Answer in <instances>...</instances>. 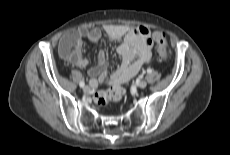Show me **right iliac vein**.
Here are the masks:
<instances>
[{
  "mask_svg": "<svg viewBox=\"0 0 230 155\" xmlns=\"http://www.w3.org/2000/svg\"><path fill=\"white\" fill-rule=\"evenodd\" d=\"M83 91L86 92V93L89 92L90 91V87L89 86H84L83 87Z\"/></svg>",
  "mask_w": 230,
  "mask_h": 155,
  "instance_id": "right-iliac-vein-1",
  "label": "right iliac vein"
}]
</instances>
